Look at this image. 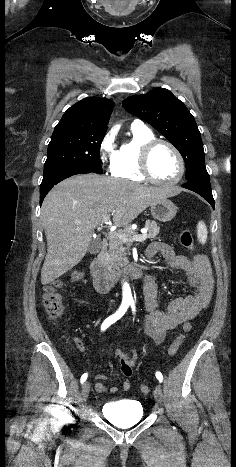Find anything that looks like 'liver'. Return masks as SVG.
<instances>
[{"instance_id":"1","label":"liver","mask_w":236,"mask_h":467,"mask_svg":"<svg viewBox=\"0 0 236 467\" xmlns=\"http://www.w3.org/2000/svg\"><path fill=\"white\" fill-rule=\"evenodd\" d=\"M179 192L174 187L144 186L92 173L60 182L42 204L47 254L41 283H51L83 259L104 216L112 215L117 227L128 226L151 204Z\"/></svg>"}]
</instances>
